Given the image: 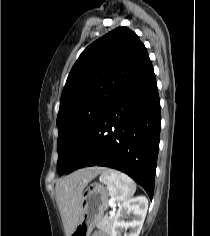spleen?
<instances>
[{
	"label": "spleen",
	"instance_id": "1",
	"mask_svg": "<svg viewBox=\"0 0 210 236\" xmlns=\"http://www.w3.org/2000/svg\"><path fill=\"white\" fill-rule=\"evenodd\" d=\"M99 179L117 202L127 201L136 191V184L128 175L112 169L103 171Z\"/></svg>",
	"mask_w": 210,
	"mask_h": 236
}]
</instances>
